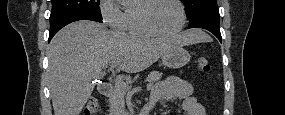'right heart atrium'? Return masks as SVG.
Listing matches in <instances>:
<instances>
[{
	"mask_svg": "<svg viewBox=\"0 0 285 115\" xmlns=\"http://www.w3.org/2000/svg\"><path fill=\"white\" fill-rule=\"evenodd\" d=\"M101 15L103 21L114 27L121 29V23L123 19V11L120 6L114 0H103L101 1Z\"/></svg>",
	"mask_w": 285,
	"mask_h": 115,
	"instance_id": "right-heart-atrium-1",
	"label": "right heart atrium"
}]
</instances>
